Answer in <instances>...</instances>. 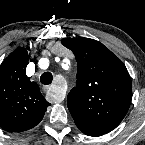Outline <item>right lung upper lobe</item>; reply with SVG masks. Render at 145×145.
<instances>
[{"instance_id": "right-lung-upper-lobe-1", "label": "right lung upper lobe", "mask_w": 145, "mask_h": 145, "mask_svg": "<svg viewBox=\"0 0 145 145\" xmlns=\"http://www.w3.org/2000/svg\"><path fill=\"white\" fill-rule=\"evenodd\" d=\"M29 48H18L0 65V127L21 132L35 127L50 105L26 75Z\"/></svg>"}]
</instances>
